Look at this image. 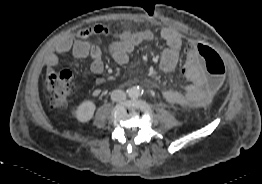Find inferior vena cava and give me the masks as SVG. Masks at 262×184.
<instances>
[{"instance_id": "inferior-vena-cava-1", "label": "inferior vena cava", "mask_w": 262, "mask_h": 184, "mask_svg": "<svg viewBox=\"0 0 262 184\" xmlns=\"http://www.w3.org/2000/svg\"><path fill=\"white\" fill-rule=\"evenodd\" d=\"M126 99V93L122 90H114L111 93V100L114 102H121Z\"/></svg>"}]
</instances>
